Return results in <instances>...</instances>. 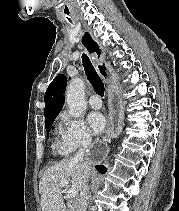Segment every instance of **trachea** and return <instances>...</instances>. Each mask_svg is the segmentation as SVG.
I'll list each match as a JSON object with an SVG mask.
<instances>
[{
    "mask_svg": "<svg viewBox=\"0 0 179 211\" xmlns=\"http://www.w3.org/2000/svg\"><path fill=\"white\" fill-rule=\"evenodd\" d=\"M82 63L86 76L91 85L93 86L94 90L96 91L97 94L103 96L105 91L104 84L100 79V77L98 76V74L96 73L89 57L86 54L82 55Z\"/></svg>",
    "mask_w": 179,
    "mask_h": 211,
    "instance_id": "3493384b",
    "label": "trachea"
}]
</instances>
